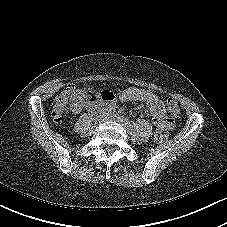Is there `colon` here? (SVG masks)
<instances>
[{
	"instance_id": "colon-1",
	"label": "colon",
	"mask_w": 227,
	"mask_h": 227,
	"mask_svg": "<svg viewBox=\"0 0 227 227\" xmlns=\"http://www.w3.org/2000/svg\"><path fill=\"white\" fill-rule=\"evenodd\" d=\"M74 92L73 86H67L56 97L51 111L52 119L55 123L60 124L63 121V115L69 103V99ZM97 94H93L91 97H96ZM167 111L169 114V120L172 122L180 116L181 110L178 103L169 99L167 101ZM168 132L165 128H158L154 133V140L158 143H162L167 139Z\"/></svg>"
}]
</instances>
